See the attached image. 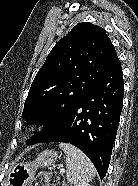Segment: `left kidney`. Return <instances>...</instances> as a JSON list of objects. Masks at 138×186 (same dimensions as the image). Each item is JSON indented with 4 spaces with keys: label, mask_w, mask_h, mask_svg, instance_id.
<instances>
[{
    "label": "left kidney",
    "mask_w": 138,
    "mask_h": 186,
    "mask_svg": "<svg viewBox=\"0 0 138 186\" xmlns=\"http://www.w3.org/2000/svg\"><path fill=\"white\" fill-rule=\"evenodd\" d=\"M76 186H91V185L88 184V183H80V184H78V185H76Z\"/></svg>",
    "instance_id": "5707ae66"
}]
</instances>
